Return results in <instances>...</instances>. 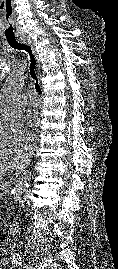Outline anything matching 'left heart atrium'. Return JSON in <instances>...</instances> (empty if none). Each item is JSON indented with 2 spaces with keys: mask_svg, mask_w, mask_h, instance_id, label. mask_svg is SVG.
<instances>
[{
  "mask_svg": "<svg viewBox=\"0 0 118 269\" xmlns=\"http://www.w3.org/2000/svg\"><path fill=\"white\" fill-rule=\"evenodd\" d=\"M29 120H30L31 122H35V121L37 120V115H36L35 112H31V113L29 114Z\"/></svg>",
  "mask_w": 118,
  "mask_h": 269,
  "instance_id": "1",
  "label": "left heart atrium"
}]
</instances>
